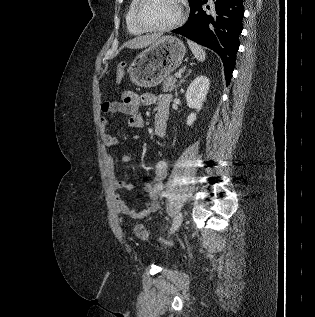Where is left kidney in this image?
I'll return each instance as SVG.
<instances>
[{"label":"left kidney","mask_w":315,"mask_h":317,"mask_svg":"<svg viewBox=\"0 0 315 317\" xmlns=\"http://www.w3.org/2000/svg\"><path fill=\"white\" fill-rule=\"evenodd\" d=\"M210 86V80L206 76H198L194 79L187 88L186 101L187 105L199 112L203 102L206 99ZM196 120V113L192 112L188 117L186 124L191 126Z\"/></svg>","instance_id":"obj_1"}]
</instances>
